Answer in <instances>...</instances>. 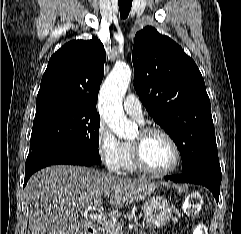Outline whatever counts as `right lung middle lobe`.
Instances as JSON below:
<instances>
[{
    "label": "right lung middle lobe",
    "instance_id": "1",
    "mask_svg": "<svg viewBox=\"0 0 241 234\" xmlns=\"http://www.w3.org/2000/svg\"><path fill=\"white\" fill-rule=\"evenodd\" d=\"M99 127L97 110L68 104L36 106L30 150L50 144L66 145L100 165Z\"/></svg>",
    "mask_w": 241,
    "mask_h": 234
}]
</instances>
